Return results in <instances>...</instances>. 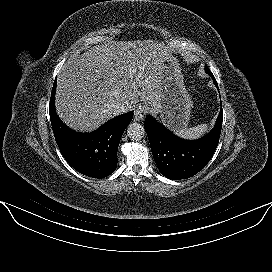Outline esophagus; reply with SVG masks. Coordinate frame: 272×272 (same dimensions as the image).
Here are the masks:
<instances>
[{"label": "esophagus", "instance_id": "34e87169", "mask_svg": "<svg viewBox=\"0 0 272 272\" xmlns=\"http://www.w3.org/2000/svg\"><path fill=\"white\" fill-rule=\"evenodd\" d=\"M146 113H147V108L143 105H140L134 111V119L136 121H141L145 117Z\"/></svg>", "mask_w": 272, "mask_h": 272}]
</instances>
